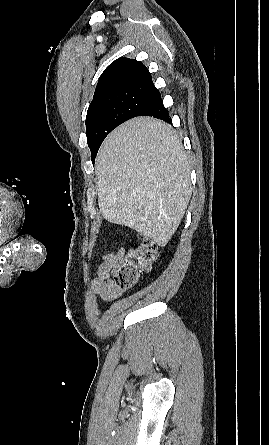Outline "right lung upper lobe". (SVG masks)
Masks as SVG:
<instances>
[{
	"instance_id": "obj_1",
	"label": "right lung upper lobe",
	"mask_w": 269,
	"mask_h": 445,
	"mask_svg": "<svg viewBox=\"0 0 269 445\" xmlns=\"http://www.w3.org/2000/svg\"><path fill=\"white\" fill-rule=\"evenodd\" d=\"M140 87H154L151 73L141 61L120 57L103 71L93 100L114 90Z\"/></svg>"
}]
</instances>
